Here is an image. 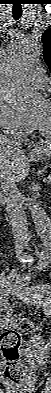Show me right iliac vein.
<instances>
[{"label": "right iliac vein", "mask_w": 51, "mask_h": 393, "mask_svg": "<svg viewBox=\"0 0 51 393\" xmlns=\"http://www.w3.org/2000/svg\"><path fill=\"white\" fill-rule=\"evenodd\" d=\"M13 284H14L13 277L12 276H8L5 279L4 284L1 287V292L0 293H1V297L2 298H6L9 295V293H10L12 287H13ZM1 309L2 310H6V306L3 303H1Z\"/></svg>", "instance_id": "63e3f726"}]
</instances>
